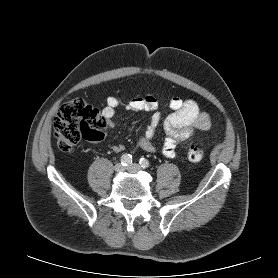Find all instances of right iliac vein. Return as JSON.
I'll list each match as a JSON object with an SVG mask.
<instances>
[{
  "label": "right iliac vein",
  "instance_id": "right-iliac-vein-1",
  "mask_svg": "<svg viewBox=\"0 0 278 278\" xmlns=\"http://www.w3.org/2000/svg\"><path fill=\"white\" fill-rule=\"evenodd\" d=\"M114 170L116 172H123L125 170V167L121 163H117L114 167Z\"/></svg>",
  "mask_w": 278,
  "mask_h": 278
}]
</instances>
